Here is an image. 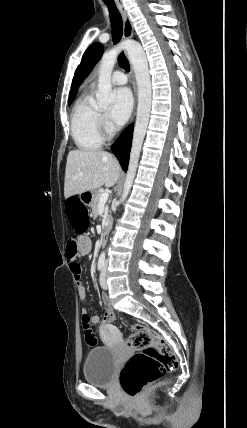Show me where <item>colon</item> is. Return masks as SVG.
<instances>
[{
    "instance_id": "5ec220e1",
    "label": "colon",
    "mask_w": 247,
    "mask_h": 428,
    "mask_svg": "<svg viewBox=\"0 0 247 428\" xmlns=\"http://www.w3.org/2000/svg\"><path fill=\"white\" fill-rule=\"evenodd\" d=\"M66 221L64 226L69 232H90L92 219L87 217L88 210L80 194H69L65 199ZM77 236L67 243V252L77 253ZM103 324L111 325L117 314L111 310L103 311ZM85 341L89 346L97 344V337L87 317L82 318ZM128 345L138 351L125 363L120 373V385L129 397H136L149 383L156 381L168 371L176 369L177 357L171 345L152 330L141 325L132 327Z\"/></svg>"
}]
</instances>
